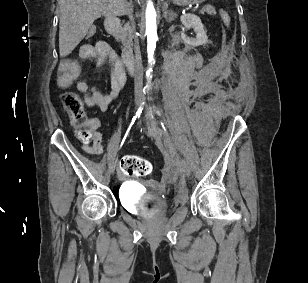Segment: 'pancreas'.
<instances>
[{"mask_svg": "<svg viewBox=\"0 0 308 283\" xmlns=\"http://www.w3.org/2000/svg\"><path fill=\"white\" fill-rule=\"evenodd\" d=\"M205 12L208 14L213 13V9L211 7H207L204 9ZM204 11H201V14H204ZM134 28L133 26H130L128 23H126L122 29H121V37L124 45V50L127 52L132 51V39L134 37L133 35Z\"/></svg>", "mask_w": 308, "mask_h": 283, "instance_id": "cf45deb5", "label": "pancreas"}]
</instances>
